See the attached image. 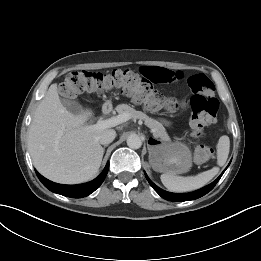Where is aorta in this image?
Wrapping results in <instances>:
<instances>
[{"instance_id":"obj_1","label":"aorta","mask_w":261,"mask_h":261,"mask_svg":"<svg viewBox=\"0 0 261 261\" xmlns=\"http://www.w3.org/2000/svg\"><path fill=\"white\" fill-rule=\"evenodd\" d=\"M127 145H128L129 148L139 149L142 146V140L138 135L131 134L127 138Z\"/></svg>"}]
</instances>
